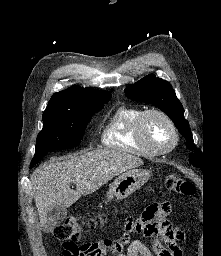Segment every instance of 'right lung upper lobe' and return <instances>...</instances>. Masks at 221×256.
Wrapping results in <instances>:
<instances>
[{"instance_id": "cb5924a9", "label": "right lung upper lobe", "mask_w": 221, "mask_h": 256, "mask_svg": "<svg viewBox=\"0 0 221 256\" xmlns=\"http://www.w3.org/2000/svg\"><path fill=\"white\" fill-rule=\"evenodd\" d=\"M110 95L111 93L107 91L72 86L53 94L44 113L75 111L78 105L83 102Z\"/></svg>"}]
</instances>
